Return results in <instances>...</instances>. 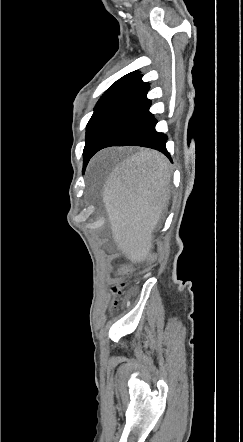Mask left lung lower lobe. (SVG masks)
<instances>
[{
    "mask_svg": "<svg viewBox=\"0 0 243 442\" xmlns=\"http://www.w3.org/2000/svg\"><path fill=\"white\" fill-rule=\"evenodd\" d=\"M148 90L149 84L143 82L107 112L84 149V162L103 148L126 145L156 149L171 160L165 147L167 136L155 130L157 120L149 112Z\"/></svg>",
    "mask_w": 243,
    "mask_h": 442,
    "instance_id": "1",
    "label": "left lung lower lobe"
}]
</instances>
